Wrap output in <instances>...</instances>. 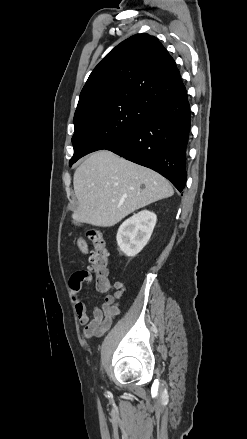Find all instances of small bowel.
<instances>
[{
	"instance_id": "c3829d8e",
	"label": "small bowel",
	"mask_w": 247,
	"mask_h": 439,
	"mask_svg": "<svg viewBox=\"0 0 247 439\" xmlns=\"http://www.w3.org/2000/svg\"><path fill=\"white\" fill-rule=\"evenodd\" d=\"M92 276L88 271H77L69 280V290L74 303L75 312L80 325L84 326V335L87 338L102 336L120 314L118 300L122 296L124 286L121 282H111L107 279L108 290L113 294L105 296L101 306L93 307L92 318L87 313V306L80 298V291L85 282H91Z\"/></svg>"
}]
</instances>
